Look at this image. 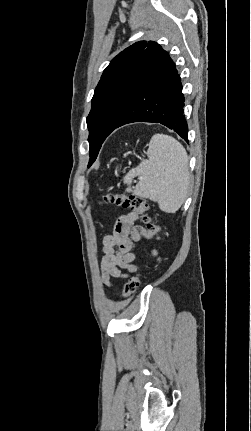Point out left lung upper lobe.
Here are the masks:
<instances>
[{
  "label": "left lung upper lobe",
  "mask_w": 251,
  "mask_h": 431,
  "mask_svg": "<svg viewBox=\"0 0 251 431\" xmlns=\"http://www.w3.org/2000/svg\"><path fill=\"white\" fill-rule=\"evenodd\" d=\"M163 52L156 42L139 41L112 59L101 76L87 117L90 166L102 143L118 125Z\"/></svg>",
  "instance_id": "5c2ea615"
}]
</instances>
